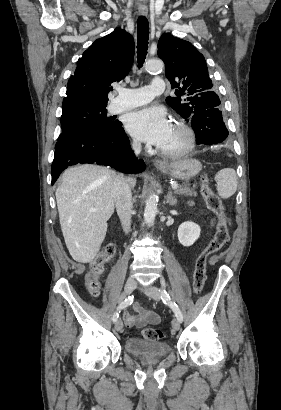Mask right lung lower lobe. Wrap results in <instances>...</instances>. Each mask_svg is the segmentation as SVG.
I'll use <instances>...</instances> for the list:
<instances>
[{"label":"right lung lower lobe","mask_w":281,"mask_h":410,"mask_svg":"<svg viewBox=\"0 0 281 410\" xmlns=\"http://www.w3.org/2000/svg\"><path fill=\"white\" fill-rule=\"evenodd\" d=\"M78 163L109 165L123 173H138L146 168L132 153L121 123L108 130L81 131L59 140L52 163V185L64 169Z\"/></svg>","instance_id":"obj_1"}]
</instances>
